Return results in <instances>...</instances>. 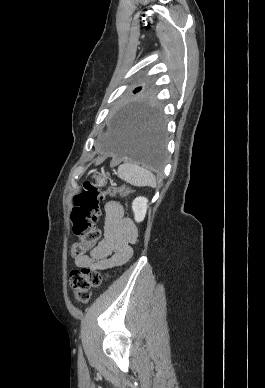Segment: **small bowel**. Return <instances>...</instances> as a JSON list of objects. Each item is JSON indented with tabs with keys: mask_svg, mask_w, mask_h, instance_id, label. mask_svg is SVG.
<instances>
[{
	"mask_svg": "<svg viewBox=\"0 0 265 388\" xmlns=\"http://www.w3.org/2000/svg\"><path fill=\"white\" fill-rule=\"evenodd\" d=\"M104 211L103 238L89 254L75 258L78 267L104 271L124 264L133 255L132 245L138 237L136 224L124 217L123 207L117 201L107 202Z\"/></svg>",
	"mask_w": 265,
	"mask_h": 388,
	"instance_id": "c3829d8e",
	"label": "small bowel"
}]
</instances>
